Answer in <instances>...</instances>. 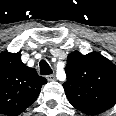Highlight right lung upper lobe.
<instances>
[{
    "label": "right lung upper lobe",
    "mask_w": 116,
    "mask_h": 116,
    "mask_svg": "<svg viewBox=\"0 0 116 116\" xmlns=\"http://www.w3.org/2000/svg\"><path fill=\"white\" fill-rule=\"evenodd\" d=\"M47 80L21 61V54L0 53V112L18 115L38 97Z\"/></svg>",
    "instance_id": "obj_1"
}]
</instances>
